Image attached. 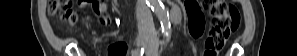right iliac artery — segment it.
<instances>
[{"instance_id": "obj_1", "label": "right iliac artery", "mask_w": 297, "mask_h": 56, "mask_svg": "<svg viewBox=\"0 0 297 56\" xmlns=\"http://www.w3.org/2000/svg\"><path fill=\"white\" fill-rule=\"evenodd\" d=\"M144 53V48L134 50L132 56H142Z\"/></svg>"}]
</instances>
